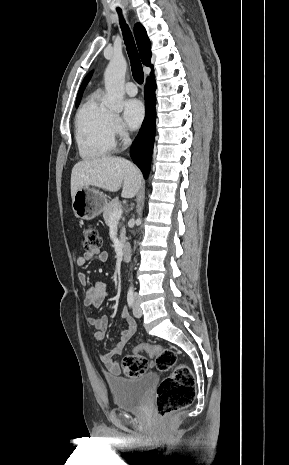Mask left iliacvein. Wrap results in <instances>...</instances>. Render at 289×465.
<instances>
[{"label": "left iliac vein", "instance_id": "4c4485c4", "mask_svg": "<svg viewBox=\"0 0 289 465\" xmlns=\"http://www.w3.org/2000/svg\"><path fill=\"white\" fill-rule=\"evenodd\" d=\"M133 315L136 318H140L142 316V310H141V308L139 306V300H138L137 296L134 299Z\"/></svg>", "mask_w": 289, "mask_h": 465}]
</instances>
